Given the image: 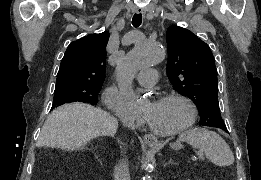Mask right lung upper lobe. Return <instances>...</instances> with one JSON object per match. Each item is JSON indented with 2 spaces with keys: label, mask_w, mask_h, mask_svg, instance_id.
I'll list each match as a JSON object with an SVG mask.
<instances>
[{
  "label": "right lung upper lobe",
  "mask_w": 261,
  "mask_h": 180,
  "mask_svg": "<svg viewBox=\"0 0 261 180\" xmlns=\"http://www.w3.org/2000/svg\"><path fill=\"white\" fill-rule=\"evenodd\" d=\"M109 37V33L103 32L70 43L61 61L56 86L71 83L103 84Z\"/></svg>",
  "instance_id": "right-lung-upper-lobe-1"
}]
</instances>
